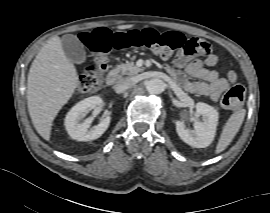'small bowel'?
Returning <instances> with one entry per match:
<instances>
[{
	"label": "small bowel",
	"instance_id": "small-bowel-1",
	"mask_svg": "<svg viewBox=\"0 0 270 213\" xmlns=\"http://www.w3.org/2000/svg\"><path fill=\"white\" fill-rule=\"evenodd\" d=\"M203 52L202 59H192L191 56L183 53L178 54L172 65L165 69L179 81L183 87L191 92L209 97L212 101H217L219 97L229 88V82L221 78L213 68L217 64V57L207 51ZM186 76L200 81L191 82L186 80Z\"/></svg>",
	"mask_w": 270,
	"mask_h": 213
}]
</instances>
